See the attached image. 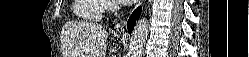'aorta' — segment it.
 <instances>
[{"label": "aorta", "mask_w": 249, "mask_h": 57, "mask_svg": "<svg viewBox=\"0 0 249 57\" xmlns=\"http://www.w3.org/2000/svg\"><path fill=\"white\" fill-rule=\"evenodd\" d=\"M148 20L141 18L134 27L130 38L128 57H141L148 37Z\"/></svg>", "instance_id": "aorta-1"}]
</instances>
